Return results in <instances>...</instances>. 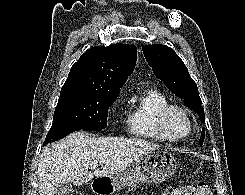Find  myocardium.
<instances>
[{
  "label": "myocardium",
  "mask_w": 245,
  "mask_h": 195,
  "mask_svg": "<svg viewBox=\"0 0 245 195\" xmlns=\"http://www.w3.org/2000/svg\"><path fill=\"white\" fill-rule=\"evenodd\" d=\"M174 111L183 114L189 123V130L184 136H174L168 129L167 119L169 115ZM156 126L159 132L161 133V135L166 140L179 142V141H184L192 134L193 129H194V122H193V119L190 113L184 107L176 105V104H168L162 107L158 111L157 116H156Z\"/></svg>",
  "instance_id": "f54148a6"
}]
</instances>
